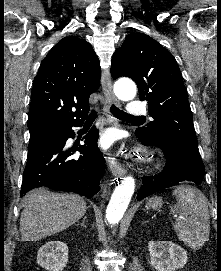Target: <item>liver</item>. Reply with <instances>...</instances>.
<instances>
[{
  "label": "liver",
  "mask_w": 221,
  "mask_h": 271,
  "mask_svg": "<svg viewBox=\"0 0 221 271\" xmlns=\"http://www.w3.org/2000/svg\"><path fill=\"white\" fill-rule=\"evenodd\" d=\"M20 215L22 241H37L67 229L86 213L87 201L77 193H52L35 187L23 197Z\"/></svg>",
  "instance_id": "6515ba94"
}]
</instances>
